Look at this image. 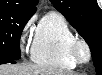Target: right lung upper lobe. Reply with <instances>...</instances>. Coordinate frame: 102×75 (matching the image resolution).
Returning <instances> with one entry per match:
<instances>
[{"label": "right lung upper lobe", "mask_w": 102, "mask_h": 75, "mask_svg": "<svg viewBox=\"0 0 102 75\" xmlns=\"http://www.w3.org/2000/svg\"><path fill=\"white\" fill-rule=\"evenodd\" d=\"M38 0H0V10L34 14Z\"/></svg>", "instance_id": "obj_1"}]
</instances>
